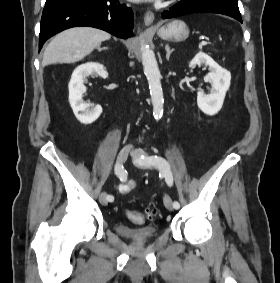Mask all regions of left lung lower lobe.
Wrapping results in <instances>:
<instances>
[{
    "mask_svg": "<svg viewBox=\"0 0 280 283\" xmlns=\"http://www.w3.org/2000/svg\"><path fill=\"white\" fill-rule=\"evenodd\" d=\"M196 12L223 14L235 18L242 23L241 14L239 12H236L226 6L205 0H181L170 8L169 11H164L161 14V17L163 19L175 18Z\"/></svg>",
    "mask_w": 280,
    "mask_h": 283,
    "instance_id": "1",
    "label": "left lung lower lobe"
}]
</instances>
